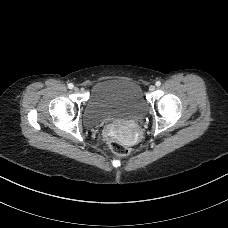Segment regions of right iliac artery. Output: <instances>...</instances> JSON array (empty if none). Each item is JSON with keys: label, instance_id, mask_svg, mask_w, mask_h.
Returning a JSON list of instances; mask_svg holds the SVG:
<instances>
[{"label": "right iliac artery", "instance_id": "obj_1", "mask_svg": "<svg viewBox=\"0 0 228 228\" xmlns=\"http://www.w3.org/2000/svg\"><path fill=\"white\" fill-rule=\"evenodd\" d=\"M73 87H74V85H73L72 83H69V84H68V88H69V89H72Z\"/></svg>", "mask_w": 228, "mask_h": 228}]
</instances>
